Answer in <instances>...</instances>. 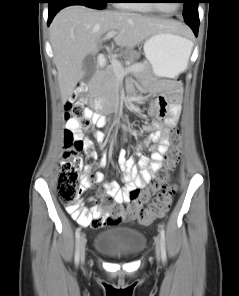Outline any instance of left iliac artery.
Here are the masks:
<instances>
[{
  "label": "left iliac artery",
  "instance_id": "44dca946",
  "mask_svg": "<svg viewBox=\"0 0 239 296\" xmlns=\"http://www.w3.org/2000/svg\"><path fill=\"white\" fill-rule=\"evenodd\" d=\"M160 243H161V257L162 261L165 264L167 261L166 257V245H165V230L163 226H160Z\"/></svg>",
  "mask_w": 239,
  "mask_h": 296
}]
</instances>
